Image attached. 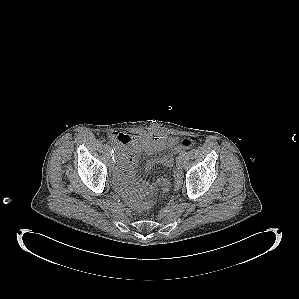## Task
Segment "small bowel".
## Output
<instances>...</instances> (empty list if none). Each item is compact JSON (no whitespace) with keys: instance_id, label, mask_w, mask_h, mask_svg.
I'll return each instance as SVG.
<instances>
[{"instance_id":"1","label":"small bowel","mask_w":299,"mask_h":299,"mask_svg":"<svg viewBox=\"0 0 299 299\" xmlns=\"http://www.w3.org/2000/svg\"><path fill=\"white\" fill-rule=\"evenodd\" d=\"M111 140L117 145L118 149V167L116 171V180L126 191L136 190L141 194H150L159 187L166 192L169 189L170 182L167 178H159L156 184L148 182H136L134 176L136 173L138 157L141 153L154 154L170 148L177 151L178 139L176 137H167L165 135H142L130 136L126 133L116 132L110 135ZM174 159L170 154H165L157 158L149 159L145 163V169L150 170L157 165L171 167Z\"/></svg>"}]
</instances>
